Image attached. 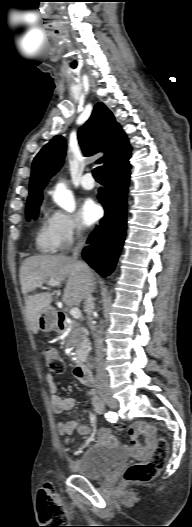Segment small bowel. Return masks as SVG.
Segmentation results:
<instances>
[{"mask_svg":"<svg viewBox=\"0 0 192 527\" xmlns=\"http://www.w3.org/2000/svg\"><path fill=\"white\" fill-rule=\"evenodd\" d=\"M46 382L51 392V408L56 414L71 410L75 405V399L72 397H63L57 393V384L52 374L46 376ZM92 404L98 414L103 412V404L95 391H89ZM58 433L65 437V443H69L70 437L74 432L79 435L87 436L92 432L89 425L80 424L76 420L60 421L57 425ZM128 433L132 436L131 446L127 448L129 454L133 457L146 460L152 456L155 449L154 430L142 423H134L127 427ZM142 437L143 442L139 440ZM97 442L103 445H119V442L112 435L110 429L102 428L98 431Z\"/></svg>","mask_w":192,"mask_h":527,"instance_id":"c3829d8e","label":"small bowel"}]
</instances>
